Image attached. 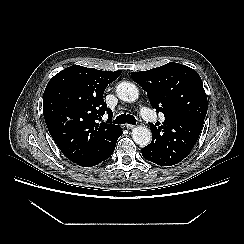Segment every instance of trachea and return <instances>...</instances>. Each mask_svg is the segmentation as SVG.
I'll use <instances>...</instances> for the list:
<instances>
[{"instance_id":"trachea-1","label":"trachea","mask_w":244,"mask_h":244,"mask_svg":"<svg viewBox=\"0 0 244 244\" xmlns=\"http://www.w3.org/2000/svg\"><path fill=\"white\" fill-rule=\"evenodd\" d=\"M114 124H132L135 125L136 124V119L134 116L130 115V114H121L119 115L114 121Z\"/></svg>"}]
</instances>
